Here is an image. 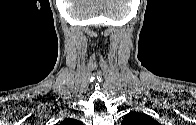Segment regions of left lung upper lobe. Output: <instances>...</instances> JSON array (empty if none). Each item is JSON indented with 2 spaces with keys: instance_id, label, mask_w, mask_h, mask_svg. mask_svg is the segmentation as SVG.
<instances>
[{
  "instance_id": "left-lung-upper-lobe-1",
  "label": "left lung upper lobe",
  "mask_w": 196,
  "mask_h": 125,
  "mask_svg": "<svg viewBox=\"0 0 196 125\" xmlns=\"http://www.w3.org/2000/svg\"><path fill=\"white\" fill-rule=\"evenodd\" d=\"M122 125H158V123L143 113L131 112L125 115Z\"/></svg>"
}]
</instances>
